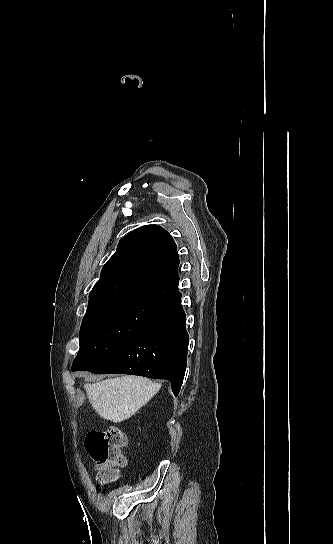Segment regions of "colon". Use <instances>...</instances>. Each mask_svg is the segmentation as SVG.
Listing matches in <instances>:
<instances>
[{
	"label": "colon",
	"mask_w": 333,
	"mask_h": 544,
	"mask_svg": "<svg viewBox=\"0 0 333 544\" xmlns=\"http://www.w3.org/2000/svg\"><path fill=\"white\" fill-rule=\"evenodd\" d=\"M126 444V434L117 426L95 430L87 435L85 449L95 463L96 478L100 483L106 484L117 479L119 469L126 464L122 452Z\"/></svg>",
	"instance_id": "1"
}]
</instances>
